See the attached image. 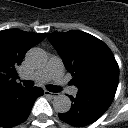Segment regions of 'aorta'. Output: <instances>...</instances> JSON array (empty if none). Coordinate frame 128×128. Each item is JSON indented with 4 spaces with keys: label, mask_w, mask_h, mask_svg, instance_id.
<instances>
[{
    "label": "aorta",
    "mask_w": 128,
    "mask_h": 128,
    "mask_svg": "<svg viewBox=\"0 0 128 128\" xmlns=\"http://www.w3.org/2000/svg\"><path fill=\"white\" fill-rule=\"evenodd\" d=\"M26 60L33 66H41L45 62L44 51L40 48H32L26 55ZM53 108L57 113H67L71 108V100L64 94L56 95L53 99Z\"/></svg>",
    "instance_id": "obj_1"
}]
</instances>
